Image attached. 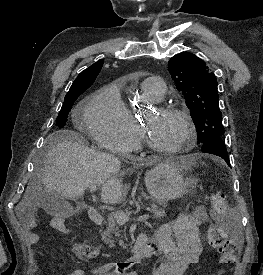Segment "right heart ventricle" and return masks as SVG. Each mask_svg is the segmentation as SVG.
<instances>
[{
    "mask_svg": "<svg viewBox=\"0 0 263 275\" xmlns=\"http://www.w3.org/2000/svg\"><path fill=\"white\" fill-rule=\"evenodd\" d=\"M144 92H145V95L147 96V98H149L150 100H153L152 98H151V96L144 90ZM126 109H127V113H128V115H129V117H130V119L132 120V122L134 123V125L138 128V130H139V127H138V123H137V120H136V118L134 117V115L128 110V108L126 107Z\"/></svg>",
    "mask_w": 263,
    "mask_h": 275,
    "instance_id": "right-heart-ventricle-1",
    "label": "right heart ventricle"
}]
</instances>
